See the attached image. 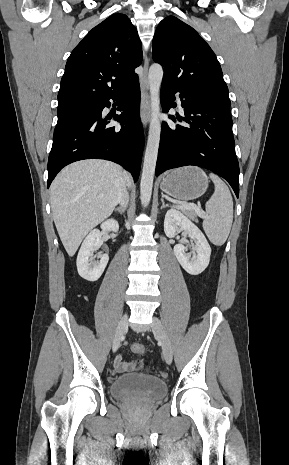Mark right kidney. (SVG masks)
<instances>
[{"instance_id":"ca27d5eb","label":"right kidney","mask_w":289,"mask_h":465,"mask_svg":"<svg viewBox=\"0 0 289 465\" xmlns=\"http://www.w3.org/2000/svg\"><path fill=\"white\" fill-rule=\"evenodd\" d=\"M104 231L117 232L119 229L118 222L114 219H108L101 224ZM103 244L102 233L98 229L92 230L84 239L77 256V270L79 275L90 282L97 281L107 266L109 256L107 254L99 255L100 260H94V251L98 250Z\"/></svg>"}]
</instances>
